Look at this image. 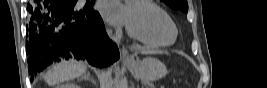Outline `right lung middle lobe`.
Here are the masks:
<instances>
[{
  "instance_id": "right-lung-middle-lobe-1",
  "label": "right lung middle lobe",
  "mask_w": 267,
  "mask_h": 88,
  "mask_svg": "<svg viewBox=\"0 0 267 88\" xmlns=\"http://www.w3.org/2000/svg\"><path fill=\"white\" fill-rule=\"evenodd\" d=\"M87 2H88V3H92V4H93V3L95 2V0H92V1H87Z\"/></svg>"
}]
</instances>
